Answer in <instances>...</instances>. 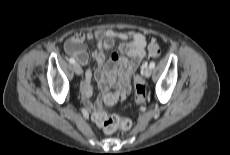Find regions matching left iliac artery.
Segmentation results:
<instances>
[{
    "instance_id": "1",
    "label": "left iliac artery",
    "mask_w": 230,
    "mask_h": 155,
    "mask_svg": "<svg viewBox=\"0 0 230 155\" xmlns=\"http://www.w3.org/2000/svg\"><path fill=\"white\" fill-rule=\"evenodd\" d=\"M149 67L151 68V69H153L154 67H155V62H151L150 64H149Z\"/></svg>"
}]
</instances>
